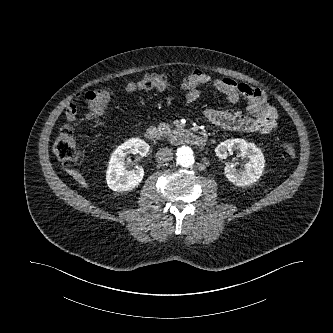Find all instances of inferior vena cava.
<instances>
[{
  "label": "inferior vena cava",
  "instance_id": "1",
  "mask_svg": "<svg viewBox=\"0 0 333 333\" xmlns=\"http://www.w3.org/2000/svg\"><path fill=\"white\" fill-rule=\"evenodd\" d=\"M173 153L169 148H162L156 153V160L159 163H166L173 158Z\"/></svg>",
  "mask_w": 333,
  "mask_h": 333
}]
</instances>
